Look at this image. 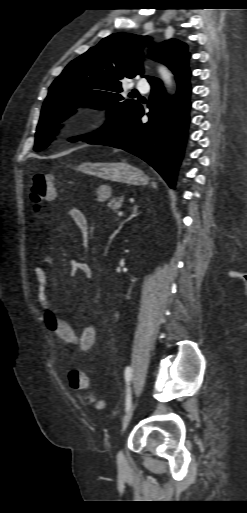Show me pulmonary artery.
<instances>
[{"mask_svg": "<svg viewBox=\"0 0 247 513\" xmlns=\"http://www.w3.org/2000/svg\"><path fill=\"white\" fill-rule=\"evenodd\" d=\"M137 89H138L140 92L146 93V92H148V91H149L150 86H149V84H148L146 81H140V82H138V84H137Z\"/></svg>", "mask_w": 247, "mask_h": 513, "instance_id": "e3ab8cb5", "label": "pulmonary artery"}]
</instances>
